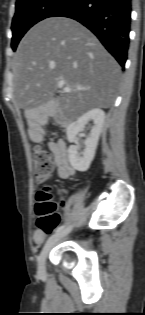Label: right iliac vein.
I'll list each match as a JSON object with an SVG mask.
<instances>
[{"mask_svg":"<svg viewBox=\"0 0 145 315\" xmlns=\"http://www.w3.org/2000/svg\"><path fill=\"white\" fill-rule=\"evenodd\" d=\"M70 231V228L58 232L57 234L52 235L47 242L45 243L41 253L38 256V274L40 276H44L45 272H46V258L47 255L50 251V249L62 238L64 237L66 234H68Z\"/></svg>","mask_w":145,"mask_h":315,"instance_id":"obj_1","label":"right iliac vein"}]
</instances>
